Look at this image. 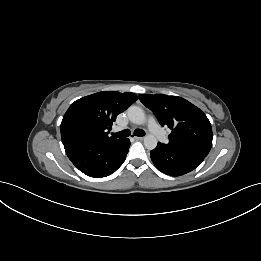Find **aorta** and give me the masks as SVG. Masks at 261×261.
<instances>
[{
    "instance_id": "aorta-1",
    "label": "aorta",
    "mask_w": 261,
    "mask_h": 261,
    "mask_svg": "<svg viewBox=\"0 0 261 261\" xmlns=\"http://www.w3.org/2000/svg\"><path fill=\"white\" fill-rule=\"evenodd\" d=\"M129 120L137 125H142L146 121V116L142 108L138 106H130L127 110ZM144 146L149 150H153L157 146V139L154 135L148 134L144 137Z\"/></svg>"
}]
</instances>
